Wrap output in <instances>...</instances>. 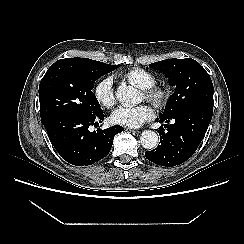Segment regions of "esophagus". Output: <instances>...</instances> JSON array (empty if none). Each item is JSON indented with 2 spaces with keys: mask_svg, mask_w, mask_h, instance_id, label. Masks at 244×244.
Here are the masks:
<instances>
[{
  "mask_svg": "<svg viewBox=\"0 0 244 244\" xmlns=\"http://www.w3.org/2000/svg\"><path fill=\"white\" fill-rule=\"evenodd\" d=\"M126 130L127 131H130V132H134V133L140 132L139 130H135V129H131V128H127Z\"/></svg>",
  "mask_w": 244,
  "mask_h": 244,
  "instance_id": "1",
  "label": "esophagus"
}]
</instances>
